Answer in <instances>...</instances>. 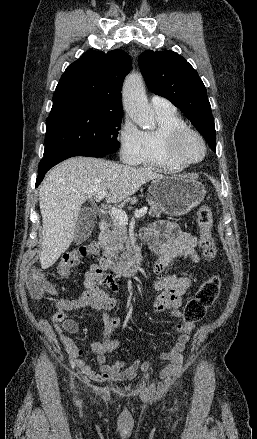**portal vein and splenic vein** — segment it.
<instances>
[{"instance_id": "1", "label": "portal vein and splenic vein", "mask_w": 257, "mask_h": 439, "mask_svg": "<svg viewBox=\"0 0 257 439\" xmlns=\"http://www.w3.org/2000/svg\"><path fill=\"white\" fill-rule=\"evenodd\" d=\"M108 194L107 190L100 191L96 198L102 200ZM148 211L147 207H143L135 212V218H140L144 216ZM111 214L115 217L119 224L126 226L128 224V218L124 210L116 207L110 208Z\"/></svg>"}]
</instances>
